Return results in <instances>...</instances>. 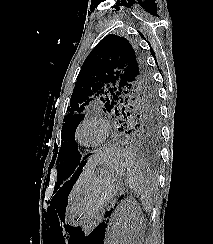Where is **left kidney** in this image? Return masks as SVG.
<instances>
[{
  "mask_svg": "<svg viewBox=\"0 0 213 244\" xmlns=\"http://www.w3.org/2000/svg\"><path fill=\"white\" fill-rule=\"evenodd\" d=\"M132 208L130 202L118 208L112 219L106 244H137L139 224Z\"/></svg>",
  "mask_w": 213,
  "mask_h": 244,
  "instance_id": "1",
  "label": "left kidney"
}]
</instances>
